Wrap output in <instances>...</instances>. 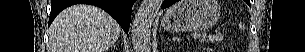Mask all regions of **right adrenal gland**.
I'll return each mask as SVG.
<instances>
[{
    "label": "right adrenal gland",
    "mask_w": 305,
    "mask_h": 52,
    "mask_svg": "<svg viewBox=\"0 0 305 52\" xmlns=\"http://www.w3.org/2000/svg\"><path fill=\"white\" fill-rule=\"evenodd\" d=\"M117 44H118V43L113 44V45L111 46V48H116V49H117Z\"/></svg>",
    "instance_id": "obj_1"
}]
</instances>
